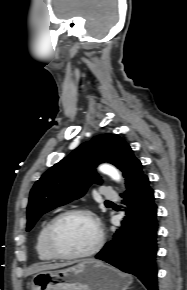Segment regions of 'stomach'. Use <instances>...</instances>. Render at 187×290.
Returning <instances> with one entry per match:
<instances>
[{
	"label": "stomach",
	"mask_w": 187,
	"mask_h": 290,
	"mask_svg": "<svg viewBox=\"0 0 187 290\" xmlns=\"http://www.w3.org/2000/svg\"><path fill=\"white\" fill-rule=\"evenodd\" d=\"M131 276L98 260L67 269L36 273L30 290H127Z\"/></svg>",
	"instance_id": "stomach-1"
}]
</instances>
